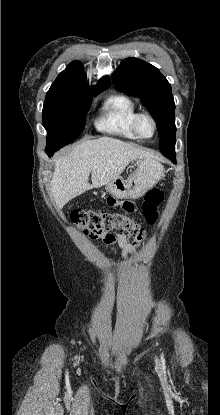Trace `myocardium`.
<instances>
[{
	"mask_svg": "<svg viewBox=\"0 0 220 415\" xmlns=\"http://www.w3.org/2000/svg\"><path fill=\"white\" fill-rule=\"evenodd\" d=\"M142 118H148L153 124V134L151 137H148V138L144 137L141 135L139 131V122ZM132 129L138 139L149 140V139H152L156 135L158 127H157L156 119L153 117V115L147 112H142V113H137L136 116L134 117L133 122H132Z\"/></svg>",
	"mask_w": 220,
	"mask_h": 415,
	"instance_id": "myocardium-1",
	"label": "myocardium"
}]
</instances>
